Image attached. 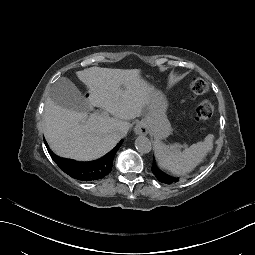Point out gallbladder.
<instances>
[{
    "instance_id": "obj_1",
    "label": "gallbladder",
    "mask_w": 255,
    "mask_h": 255,
    "mask_svg": "<svg viewBox=\"0 0 255 255\" xmlns=\"http://www.w3.org/2000/svg\"><path fill=\"white\" fill-rule=\"evenodd\" d=\"M49 98L58 106L85 112L87 104L79 89L67 78H59L49 91Z\"/></svg>"
}]
</instances>
